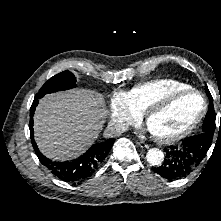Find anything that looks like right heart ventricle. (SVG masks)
Segmentation results:
<instances>
[{
    "mask_svg": "<svg viewBox=\"0 0 221 221\" xmlns=\"http://www.w3.org/2000/svg\"><path fill=\"white\" fill-rule=\"evenodd\" d=\"M187 88H190V85L184 82L164 78L136 84L126 91L125 94L132 110L137 114L142 115L153 101L172 91Z\"/></svg>",
    "mask_w": 221,
    "mask_h": 221,
    "instance_id": "right-heart-ventricle-1",
    "label": "right heart ventricle"
}]
</instances>
